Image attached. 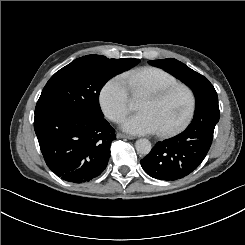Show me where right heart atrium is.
Instances as JSON below:
<instances>
[{
  "mask_svg": "<svg viewBox=\"0 0 245 245\" xmlns=\"http://www.w3.org/2000/svg\"><path fill=\"white\" fill-rule=\"evenodd\" d=\"M130 93L129 87L120 77L109 79L102 87L99 95L100 105L113 122L121 121L128 112Z\"/></svg>",
  "mask_w": 245,
  "mask_h": 245,
  "instance_id": "obj_1",
  "label": "right heart atrium"
}]
</instances>
